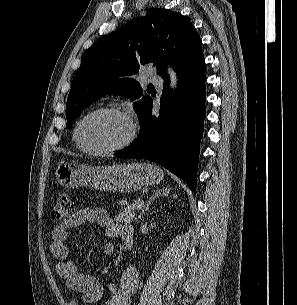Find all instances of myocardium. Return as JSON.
I'll use <instances>...</instances> for the list:
<instances>
[{"label": "myocardium", "mask_w": 297, "mask_h": 305, "mask_svg": "<svg viewBox=\"0 0 297 305\" xmlns=\"http://www.w3.org/2000/svg\"><path fill=\"white\" fill-rule=\"evenodd\" d=\"M100 113H111V114L119 115L127 121L129 126V132L122 142L109 147H88L83 144L80 137V128L82 123L89 117ZM136 134H137V124L132 114L129 111L116 106H104L89 111L77 121L74 128V139L76 141L77 146L79 147L80 150L90 154H111L121 151L133 143V141L136 138Z\"/></svg>", "instance_id": "obj_1"}]
</instances>
